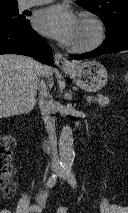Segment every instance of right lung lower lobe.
I'll use <instances>...</instances> for the list:
<instances>
[{"label":"right lung lower lobe","mask_w":128,"mask_h":213,"mask_svg":"<svg viewBox=\"0 0 128 213\" xmlns=\"http://www.w3.org/2000/svg\"><path fill=\"white\" fill-rule=\"evenodd\" d=\"M0 54H22L54 64L49 45L31 28L28 20L17 25L0 23Z\"/></svg>","instance_id":"1"}]
</instances>
